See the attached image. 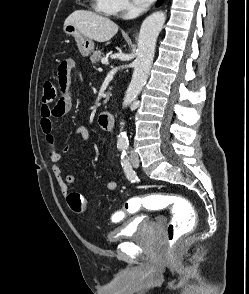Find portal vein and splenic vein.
<instances>
[{
	"label": "portal vein and splenic vein",
	"instance_id": "18ae733b",
	"mask_svg": "<svg viewBox=\"0 0 249 294\" xmlns=\"http://www.w3.org/2000/svg\"><path fill=\"white\" fill-rule=\"evenodd\" d=\"M101 62H102V64H107L108 60L107 59H102Z\"/></svg>",
	"mask_w": 249,
	"mask_h": 294
}]
</instances>
